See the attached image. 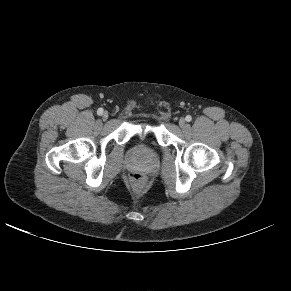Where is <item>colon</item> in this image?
<instances>
[{
  "instance_id": "1",
  "label": "colon",
  "mask_w": 291,
  "mask_h": 291,
  "mask_svg": "<svg viewBox=\"0 0 291 291\" xmlns=\"http://www.w3.org/2000/svg\"><path fill=\"white\" fill-rule=\"evenodd\" d=\"M130 179L136 184H142L145 181V176L141 173H132Z\"/></svg>"
}]
</instances>
